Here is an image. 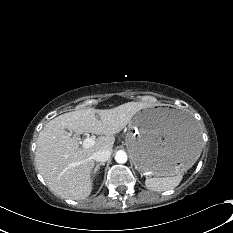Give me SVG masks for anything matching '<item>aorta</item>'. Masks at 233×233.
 Returning <instances> with one entry per match:
<instances>
[{
  "instance_id": "aorta-1",
  "label": "aorta",
  "mask_w": 233,
  "mask_h": 233,
  "mask_svg": "<svg viewBox=\"0 0 233 233\" xmlns=\"http://www.w3.org/2000/svg\"><path fill=\"white\" fill-rule=\"evenodd\" d=\"M115 161L117 163H121V164L126 163L127 162L126 152L123 151V150L117 151L116 154H115Z\"/></svg>"
}]
</instances>
